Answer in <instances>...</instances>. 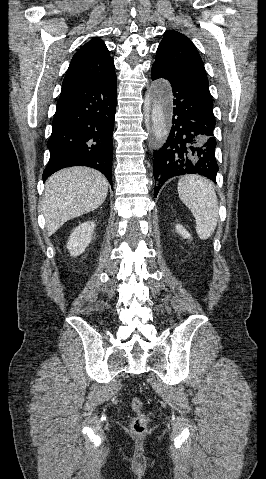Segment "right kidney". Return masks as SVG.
Wrapping results in <instances>:
<instances>
[{"label":"right kidney","instance_id":"1","mask_svg":"<svg viewBox=\"0 0 266 479\" xmlns=\"http://www.w3.org/2000/svg\"><path fill=\"white\" fill-rule=\"evenodd\" d=\"M95 228L93 221H87L79 224L70 235L67 243V249L71 256L77 257L82 254L92 239Z\"/></svg>","mask_w":266,"mask_h":479}]
</instances>
